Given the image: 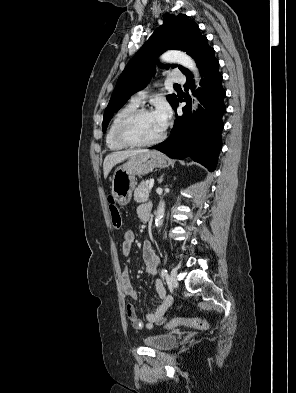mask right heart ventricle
I'll list each match as a JSON object with an SVG mask.
<instances>
[{"label":"right heart ventricle","instance_id":"1","mask_svg":"<svg viewBox=\"0 0 296 393\" xmlns=\"http://www.w3.org/2000/svg\"><path fill=\"white\" fill-rule=\"evenodd\" d=\"M138 107V104H135L133 102H129L122 106L113 116L110 125L108 127L107 133H106V143L109 149L111 150H121L126 148L127 146L123 145L122 143L119 142L116 132L119 123L121 120L131 111L136 109Z\"/></svg>","mask_w":296,"mask_h":393}]
</instances>
